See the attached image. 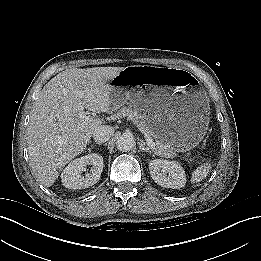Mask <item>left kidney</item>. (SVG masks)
<instances>
[{
	"mask_svg": "<svg viewBox=\"0 0 261 261\" xmlns=\"http://www.w3.org/2000/svg\"><path fill=\"white\" fill-rule=\"evenodd\" d=\"M149 171L154 182L162 187L180 189L186 184L185 171L177 161L155 159L149 163Z\"/></svg>",
	"mask_w": 261,
	"mask_h": 261,
	"instance_id": "5707ae66",
	"label": "left kidney"
}]
</instances>
